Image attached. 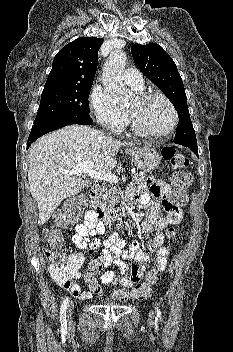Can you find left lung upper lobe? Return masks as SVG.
<instances>
[{
	"label": "left lung upper lobe",
	"mask_w": 233,
	"mask_h": 352,
	"mask_svg": "<svg viewBox=\"0 0 233 352\" xmlns=\"http://www.w3.org/2000/svg\"><path fill=\"white\" fill-rule=\"evenodd\" d=\"M131 53L137 67L167 96L178 112L179 125L174 143H197L182 78L172 58L156 43L134 44Z\"/></svg>",
	"instance_id": "5c2ea615"
}]
</instances>
